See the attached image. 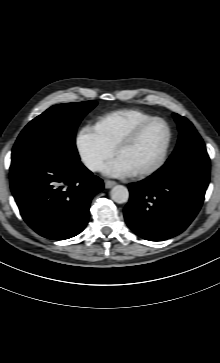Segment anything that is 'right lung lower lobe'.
<instances>
[{"instance_id":"98d812e1","label":"right lung lower lobe","mask_w":220,"mask_h":363,"mask_svg":"<svg viewBox=\"0 0 220 363\" xmlns=\"http://www.w3.org/2000/svg\"><path fill=\"white\" fill-rule=\"evenodd\" d=\"M10 185L25 222L52 240L76 236L85 227L103 182L80 161L43 153L11 164Z\"/></svg>"}]
</instances>
